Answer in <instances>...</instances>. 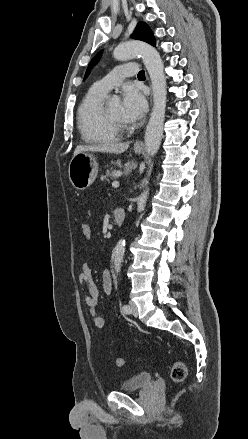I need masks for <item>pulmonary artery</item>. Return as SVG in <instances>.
<instances>
[{
  "label": "pulmonary artery",
  "mask_w": 248,
  "mask_h": 439,
  "mask_svg": "<svg viewBox=\"0 0 248 439\" xmlns=\"http://www.w3.org/2000/svg\"><path fill=\"white\" fill-rule=\"evenodd\" d=\"M138 73V68L135 63H127L116 67L106 76L98 80L91 87L95 92L100 94H107L113 87L118 86L126 77H132Z\"/></svg>",
  "instance_id": "pulmonary-artery-1"
}]
</instances>
